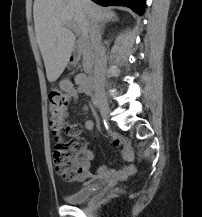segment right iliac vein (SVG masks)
Here are the masks:
<instances>
[{
    "mask_svg": "<svg viewBox=\"0 0 202 217\" xmlns=\"http://www.w3.org/2000/svg\"><path fill=\"white\" fill-rule=\"evenodd\" d=\"M96 99L101 111L102 118L108 120L109 118V104L106 97L102 93L96 94Z\"/></svg>",
    "mask_w": 202,
    "mask_h": 217,
    "instance_id": "63e3f726",
    "label": "right iliac vein"
}]
</instances>
